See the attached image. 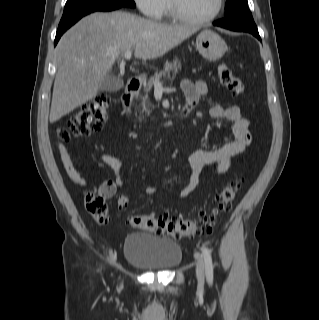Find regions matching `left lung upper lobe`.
<instances>
[{"label":"left lung upper lobe","mask_w":319,"mask_h":320,"mask_svg":"<svg viewBox=\"0 0 319 320\" xmlns=\"http://www.w3.org/2000/svg\"><path fill=\"white\" fill-rule=\"evenodd\" d=\"M240 17L253 20L247 0H226L225 18Z\"/></svg>","instance_id":"left-lung-upper-lobe-1"}]
</instances>
